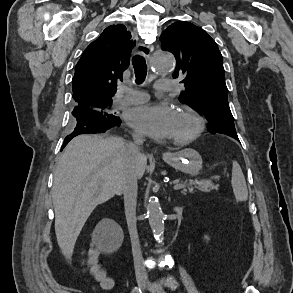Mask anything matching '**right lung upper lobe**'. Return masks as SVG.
I'll use <instances>...</instances> for the list:
<instances>
[{"label": "right lung upper lobe", "mask_w": 293, "mask_h": 293, "mask_svg": "<svg viewBox=\"0 0 293 293\" xmlns=\"http://www.w3.org/2000/svg\"><path fill=\"white\" fill-rule=\"evenodd\" d=\"M135 41L122 24L108 26L83 52L75 67V106L97 109L95 101L112 100L122 73L129 66Z\"/></svg>", "instance_id": "obj_1"}]
</instances>
